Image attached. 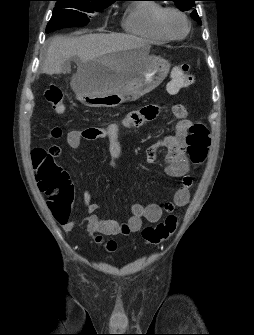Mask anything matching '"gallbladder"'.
Here are the masks:
<instances>
[{
  "label": "gallbladder",
  "mask_w": 254,
  "mask_h": 335,
  "mask_svg": "<svg viewBox=\"0 0 254 335\" xmlns=\"http://www.w3.org/2000/svg\"><path fill=\"white\" fill-rule=\"evenodd\" d=\"M64 71H67L68 70V66H64Z\"/></svg>",
  "instance_id": "1"
}]
</instances>
